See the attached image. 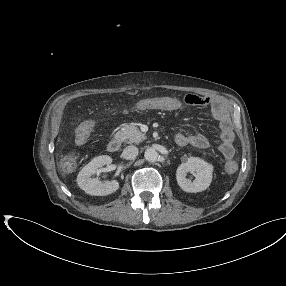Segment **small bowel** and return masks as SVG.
Wrapping results in <instances>:
<instances>
[{"mask_svg": "<svg viewBox=\"0 0 286 286\" xmlns=\"http://www.w3.org/2000/svg\"><path fill=\"white\" fill-rule=\"evenodd\" d=\"M185 105L210 108L214 118L220 121L222 142L219 145V150L226 159L232 158L235 152L233 125L228 108L223 102L197 95H187L183 101L172 97H154L141 100L137 104V108L140 110L178 111ZM84 123L90 125L91 129L95 126V120H88ZM175 140L180 146L191 144L199 149L209 147L208 139L202 134L190 135L179 132L176 134Z\"/></svg>", "mask_w": 286, "mask_h": 286, "instance_id": "obj_1", "label": "small bowel"}]
</instances>
